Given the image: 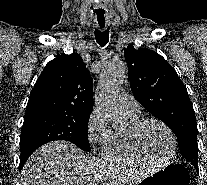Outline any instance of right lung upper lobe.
Returning a JSON list of instances; mask_svg holds the SVG:
<instances>
[{"label": "right lung upper lobe", "instance_id": "cb5924a9", "mask_svg": "<svg viewBox=\"0 0 207 185\" xmlns=\"http://www.w3.org/2000/svg\"><path fill=\"white\" fill-rule=\"evenodd\" d=\"M93 81L79 54L60 55L49 61L37 79L26 107L30 112L90 116Z\"/></svg>", "mask_w": 207, "mask_h": 185}]
</instances>
